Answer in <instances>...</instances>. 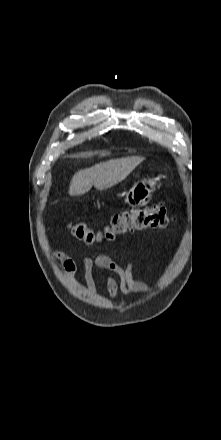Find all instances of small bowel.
I'll list each match as a JSON object with an SVG mask.
<instances>
[{
	"label": "small bowel",
	"instance_id": "1",
	"mask_svg": "<svg viewBox=\"0 0 221 440\" xmlns=\"http://www.w3.org/2000/svg\"><path fill=\"white\" fill-rule=\"evenodd\" d=\"M55 258L60 262L65 273L73 278L77 272V264L66 253L56 250L54 251ZM84 280L87 289L91 293H95L96 285V271L101 270L105 273L104 280L108 296L110 299H115L119 291L123 293L139 292L146 293L149 291V286L143 281L133 278L131 266L123 268L111 257L104 254H95L83 259ZM114 275L119 276L120 282L116 280Z\"/></svg>",
	"mask_w": 221,
	"mask_h": 440
}]
</instances>
